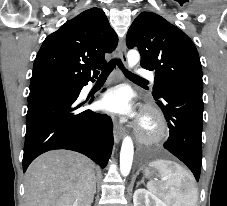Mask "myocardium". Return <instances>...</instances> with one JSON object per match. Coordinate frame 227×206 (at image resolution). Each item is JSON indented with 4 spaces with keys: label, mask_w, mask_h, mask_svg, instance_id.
Wrapping results in <instances>:
<instances>
[{
    "label": "myocardium",
    "mask_w": 227,
    "mask_h": 206,
    "mask_svg": "<svg viewBox=\"0 0 227 206\" xmlns=\"http://www.w3.org/2000/svg\"><path fill=\"white\" fill-rule=\"evenodd\" d=\"M167 123L162 112L156 107H148L138 125L137 138L148 145L162 142L167 137Z\"/></svg>",
    "instance_id": "obj_1"
}]
</instances>
